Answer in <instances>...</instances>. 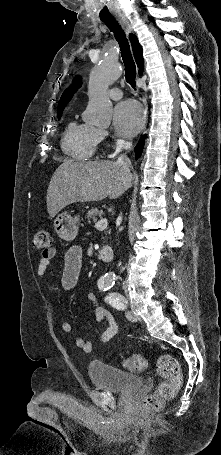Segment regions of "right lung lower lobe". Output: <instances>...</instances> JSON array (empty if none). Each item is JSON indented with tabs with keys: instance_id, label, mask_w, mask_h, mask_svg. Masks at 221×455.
Here are the masks:
<instances>
[{
	"instance_id": "obj_1",
	"label": "right lung lower lobe",
	"mask_w": 221,
	"mask_h": 455,
	"mask_svg": "<svg viewBox=\"0 0 221 455\" xmlns=\"http://www.w3.org/2000/svg\"><path fill=\"white\" fill-rule=\"evenodd\" d=\"M144 138H145V136H143V137L140 139V141L138 142V145H137L136 148H135V153H136L135 157H136V158H138V156H140L141 153H142L143 146H144Z\"/></svg>"
}]
</instances>
